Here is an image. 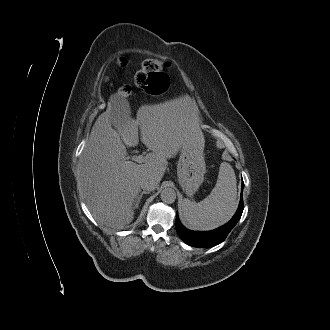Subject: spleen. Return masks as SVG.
Wrapping results in <instances>:
<instances>
[{
	"label": "spleen",
	"instance_id": "3e777b00",
	"mask_svg": "<svg viewBox=\"0 0 330 330\" xmlns=\"http://www.w3.org/2000/svg\"><path fill=\"white\" fill-rule=\"evenodd\" d=\"M236 176L227 162L220 165L215 187L199 203L184 199L181 204L183 223L192 230H212L233 216L237 205Z\"/></svg>",
	"mask_w": 330,
	"mask_h": 330
}]
</instances>
